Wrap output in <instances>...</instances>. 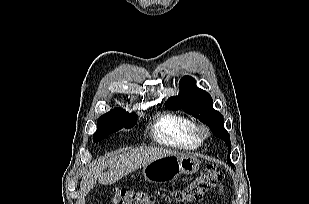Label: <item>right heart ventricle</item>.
Instances as JSON below:
<instances>
[{
	"mask_svg": "<svg viewBox=\"0 0 309 204\" xmlns=\"http://www.w3.org/2000/svg\"><path fill=\"white\" fill-rule=\"evenodd\" d=\"M152 134L158 142L176 147L195 148L201 141L194 132V123L176 112L161 114L153 124Z\"/></svg>",
	"mask_w": 309,
	"mask_h": 204,
	"instance_id": "right-heart-ventricle-1",
	"label": "right heart ventricle"
}]
</instances>
